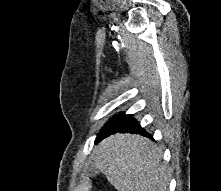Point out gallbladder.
I'll return each mask as SVG.
<instances>
[{
    "mask_svg": "<svg viewBox=\"0 0 221 191\" xmlns=\"http://www.w3.org/2000/svg\"><path fill=\"white\" fill-rule=\"evenodd\" d=\"M88 174L91 177L97 176L99 174V170L94 164H91L88 168Z\"/></svg>",
    "mask_w": 221,
    "mask_h": 191,
    "instance_id": "bac80fb5",
    "label": "gallbladder"
}]
</instances>
